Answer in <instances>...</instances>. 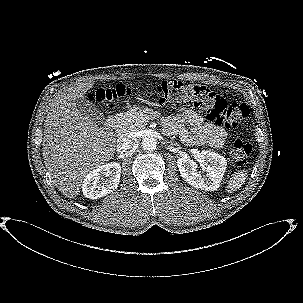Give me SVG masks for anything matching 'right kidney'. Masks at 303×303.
Returning <instances> with one entry per match:
<instances>
[{"label": "right kidney", "mask_w": 303, "mask_h": 303, "mask_svg": "<svg viewBox=\"0 0 303 303\" xmlns=\"http://www.w3.org/2000/svg\"><path fill=\"white\" fill-rule=\"evenodd\" d=\"M120 173L121 166L117 162H111L93 169L83 180V194L87 198L98 199L111 193L119 185Z\"/></svg>", "instance_id": "ca27d5eb"}]
</instances>
